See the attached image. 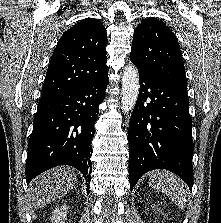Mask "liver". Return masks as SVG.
Instances as JSON below:
<instances>
[{"mask_svg": "<svg viewBox=\"0 0 221 223\" xmlns=\"http://www.w3.org/2000/svg\"><path fill=\"white\" fill-rule=\"evenodd\" d=\"M76 183V174L70 167L59 166L48 170L31 182L29 199L34 208H41L66 195Z\"/></svg>", "mask_w": 221, "mask_h": 223, "instance_id": "obj_1", "label": "liver"}]
</instances>
